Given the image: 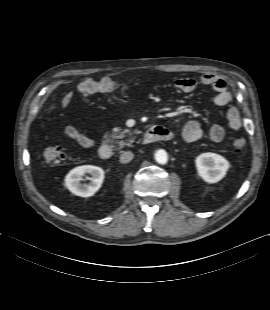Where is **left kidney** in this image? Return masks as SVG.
Segmentation results:
<instances>
[{"label": "left kidney", "instance_id": "1", "mask_svg": "<svg viewBox=\"0 0 270 310\" xmlns=\"http://www.w3.org/2000/svg\"><path fill=\"white\" fill-rule=\"evenodd\" d=\"M198 175L207 183H216L223 179L230 167L229 162L216 153H202L195 159Z\"/></svg>", "mask_w": 270, "mask_h": 310}]
</instances>
